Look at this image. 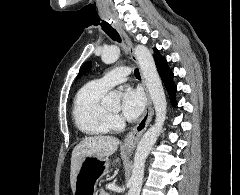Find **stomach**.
<instances>
[{
    "mask_svg": "<svg viewBox=\"0 0 240 195\" xmlns=\"http://www.w3.org/2000/svg\"><path fill=\"white\" fill-rule=\"evenodd\" d=\"M133 147L134 145L131 147L123 145L124 151H130ZM109 163L108 157H101V159L86 157L76 177L73 195H97L98 181L103 175H107Z\"/></svg>",
    "mask_w": 240,
    "mask_h": 195,
    "instance_id": "obj_1",
    "label": "stomach"
}]
</instances>
